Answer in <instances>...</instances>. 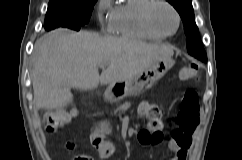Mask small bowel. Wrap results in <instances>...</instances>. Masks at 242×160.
Returning <instances> with one entry per match:
<instances>
[{
  "mask_svg": "<svg viewBox=\"0 0 242 160\" xmlns=\"http://www.w3.org/2000/svg\"><path fill=\"white\" fill-rule=\"evenodd\" d=\"M145 112H146V107H143L141 110V113L144 115ZM105 131L106 130H104L103 133H94L92 142H93L94 147L97 150H99L100 142H106V144L104 146L110 151V155H111L113 153L114 146L111 142L104 140ZM184 136L186 137V145L182 146L180 144V142L171 134V137L168 140V144H167L168 150L172 154L171 160H187L188 152L192 145V133L184 134ZM139 142H140V139H139ZM68 147L71 148L72 145L68 144Z\"/></svg>",
  "mask_w": 242,
  "mask_h": 160,
  "instance_id": "1",
  "label": "small bowel"
}]
</instances>
